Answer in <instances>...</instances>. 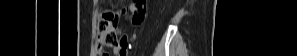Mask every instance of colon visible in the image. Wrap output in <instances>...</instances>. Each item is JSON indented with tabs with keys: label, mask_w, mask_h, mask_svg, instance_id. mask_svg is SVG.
Wrapping results in <instances>:
<instances>
[{
	"label": "colon",
	"mask_w": 297,
	"mask_h": 56,
	"mask_svg": "<svg viewBox=\"0 0 297 56\" xmlns=\"http://www.w3.org/2000/svg\"><path fill=\"white\" fill-rule=\"evenodd\" d=\"M130 10L134 24H140L146 17V0H133ZM119 30L117 24V15L112 12L105 13L98 25V42L101 47L119 46Z\"/></svg>",
	"instance_id": "obj_1"
}]
</instances>
